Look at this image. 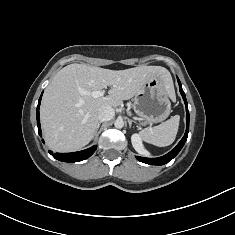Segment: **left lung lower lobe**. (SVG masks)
<instances>
[{
  "label": "left lung lower lobe",
  "mask_w": 235,
  "mask_h": 235,
  "mask_svg": "<svg viewBox=\"0 0 235 235\" xmlns=\"http://www.w3.org/2000/svg\"><path fill=\"white\" fill-rule=\"evenodd\" d=\"M178 83H179V90H180V93L183 97V100H184V103H185V106H186V123H187V126H186V132L183 136V138L181 139V141L178 143V145L172 150L170 151L168 154L162 156V157H158V158H145V157H139L137 156L136 158L143 162V163H146V164H150V165H164L166 163H168L169 161H171L179 152L180 150L182 149V147L184 146L186 140H187V137H188V132H189V111H188V107H187V100H186V96H185V93L182 89V86H181V82L180 80L178 79Z\"/></svg>",
  "instance_id": "0a47b994"
}]
</instances>
